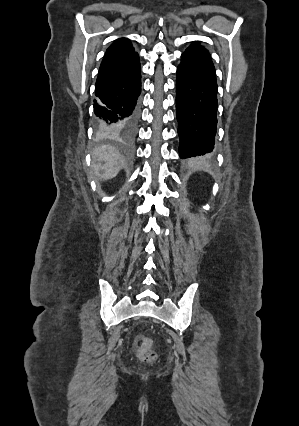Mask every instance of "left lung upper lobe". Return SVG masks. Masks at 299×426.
<instances>
[{"instance_id": "1", "label": "left lung upper lobe", "mask_w": 299, "mask_h": 426, "mask_svg": "<svg viewBox=\"0 0 299 426\" xmlns=\"http://www.w3.org/2000/svg\"><path fill=\"white\" fill-rule=\"evenodd\" d=\"M186 50H203V51H207V49H205L204 47H202V46H200L199 44H196V43L191 44Z\"/></svg>"}]
</instances>
